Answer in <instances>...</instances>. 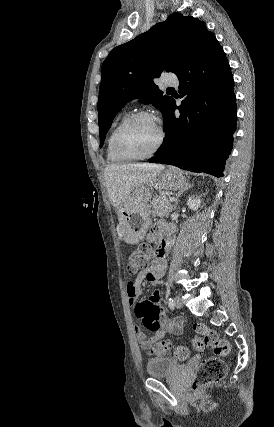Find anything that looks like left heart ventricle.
Wrapping results in <instances>:
<instances>
[{"label":"left heart ventricle","mask_w":274,"mask_h":427,"mask_svg":"<svg viewBox=\"0 0 274 427\" xmlns=\"http://www.w3.org/2000/svg\"><path fill=\"white\" fill-rule=\"evenodd\" d=\"M159 138L158 124L149 118H139L122 132L121 146L130 155L143 156L156 147Z\"/></svg>","instance_id":"left-heart-ventricle-1"}]
</instances>
